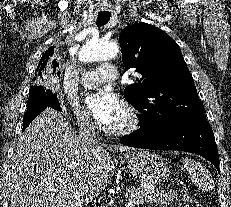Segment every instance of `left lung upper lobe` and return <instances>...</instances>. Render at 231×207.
I'll list each match as a JSON object with an SVG mask.
<instances>
[{"mask_svg": "<svg viewBox=\"0 0 231 207\" xmlns=\"http://www.w3.org/2000/svg\"><path fill=\"white\" fill-rule=\"evenodd\" d=\"M125 68L141 77L124 96L141 111L140 131L159 133L179 120L204 114L194 80L177 43L147 23H135L120 33Z\"/></svg>", "mask_w": 231, "mask_h": 207, "instance_id": "obj_1", "label": "left lung upper lobe"}]
</instances>
